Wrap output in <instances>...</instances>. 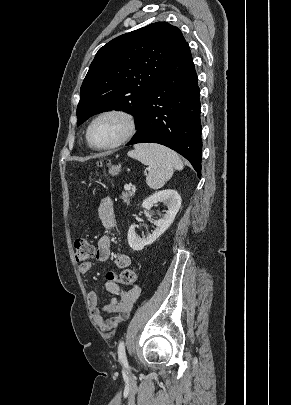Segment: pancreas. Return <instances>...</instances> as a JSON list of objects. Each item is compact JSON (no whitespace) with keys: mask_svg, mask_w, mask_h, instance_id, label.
<instances>
[{"mask_svg":"<svg viewBox=\"0 0 291 405\" xmlns=\"http://www.w3.org/2000/svg\"><path fill=\"white\" fill-rule=\"evenodd\" d=\"M132 192H123L121 195V199L123 200L124 203L129 204L130 203V198L133 197Z\"/></svg>","mask_w":291,"mask_h":405,"instance_id":"1","label":"pancreas"}]
</instances>
